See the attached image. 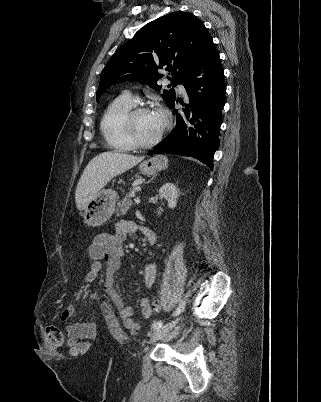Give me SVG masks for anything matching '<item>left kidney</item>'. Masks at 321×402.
I'll return each instance as SVG.
<instances>
[{"instance_id":"5707ae66","label":"left kidney","mask_w":321,"mask_h":402,"mask_svg":"<svg viewBox=\"0 0 321 402\" xmlns=\"http://www.w3.org/2000/svg\"><path fill=\"white\" fill-rule=\"evenodd\" d=\"M159 194L161 197L168 201V207L174 209L177 205V198L179 196V191L177 187L172 183H166L159 189Z\"/></svg>"}]
</instances>
